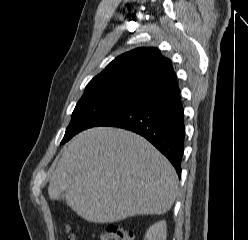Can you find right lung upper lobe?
Returning a JSON list of instances; mask_svg holds the SVG:
<instances>
[{"label": "right lung upper lobe", "instance_id": "right-lung-upper-lobe-1", "mask_svg": "<svg viewBox=\"0 0 248 240\" xmlns=\"http://www.w3.org/2000/svg\"><path fill=\"white\" fill-rule=\"evenodd\" d=\"M178 87L169 59L153 47L137 48L114 59L86 90L108 89L143 99Z\"/></svg>", "mask_w": 248, "mask_h": 240}]
</instances>
